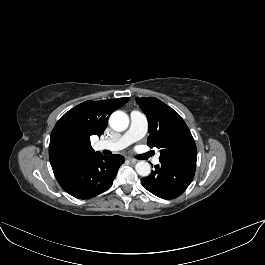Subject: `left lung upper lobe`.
<instances>
[{
    "mask_svg": "<svg viewBox=\"0 0 265 265\" xmlns=\"http://www.w3.org/2000/svg\"><path fill=\"white\" fill-rule=\"evenodd\" d=\"M149 124L147 145L160 149V160L197 158L189 128L171 107L154 97L136 98Z\"/></svg>",
    "mask_w": 265,
    "mask_h": 265,
    "instance_id": "1",
    "label": "left lung upper lobe"
}]
</instances>
